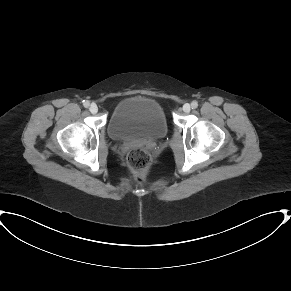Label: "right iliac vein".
<instances>
[{"mask_svg":"<svg viewBox=\"0 0 291 291\" xmlns=\"http://www.w3.org/2000/svg\"><path fill=\"white\" fill-rule=\"evenodd\" d=\"M89 111L92 114H96L98 112V106L96 104L92 103L89 107Z\"/></svg>","mask_w":291,"mask_h":291,"instance_id":"1","label":"right iliac vein"}]
</instances>
